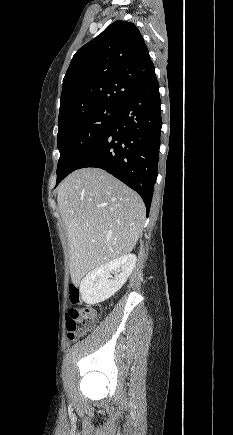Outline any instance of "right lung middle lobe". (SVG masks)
I'll return each mask as SVG.
<instances>
[{
	"mask_svg": "<svg viewBox=\"0 0 233 435\" xmlns=\"http://www.w3.org/2000/svg\"><path fill=\"white\" fill-rule=\"evenodd\" d=\"M119 109L117 106H100L58 123L57 147L60 158L57 166V183L101 138Z\"/></svg>",
	"mask_w": 233,
	"mask_h": 435,
	"instance_id": "obj_1",
	"label": "right lung middle lobe"
}]
</instances>
